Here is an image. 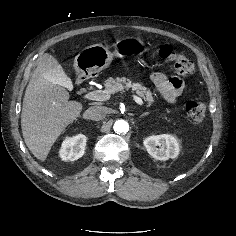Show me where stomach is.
Here are the masks:
<instances>
[{"mask_svg":"<svg viewBox=\"0 0 236 236\" xmlns=\"http://www.w3.org/2000/svg\"><path fill=\"white\" fill-rule=\"evenodd\" d=\"M114 52L102 44H95L84 48L74 60V68L79 76L92 77L107 68L114 57L124 58L143 54L148 50L144 40L128 36L118 39L114 43Z\"/></svg>","mask_w":236,"mask_h":236,"instance_id":"1","label":"stomach"}]
</instances>
